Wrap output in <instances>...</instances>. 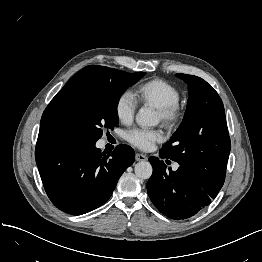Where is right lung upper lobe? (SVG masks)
I'll return each mask as SVG.
<instances>
[{"instance_id": "cb5924a9", "label": "right lung upper lobe", "mask_w": 262, "mask_h": 262, "mask_svg": "<svg viewBox=\"0 0 262 262\" xmlns=\"http://www.w3.org/2000/svg\"><path fill=\"white\" fill-rule=\"evenodd\" d=\"M90 66H97V65H90ZM88 66V67H90ZM45 129L43 127H40V131H44Z\"/></svg>"}]
</instances>
